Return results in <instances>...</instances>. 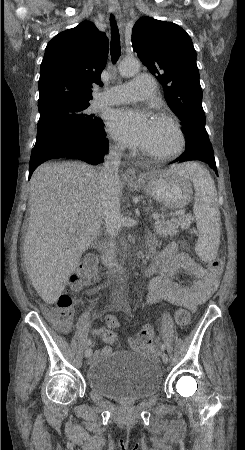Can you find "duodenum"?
Returning <instances> with one entry per match:
<instances>
[{"label": "duodenum", "instance_id": "1", "mask_svg": "<svg viewBox=\"0 0 245 450\" xmlns=\"http://www.w3.org/2000/svg\"><path fill=\"white\" fill-rule=\"evenodd\" d=\"M102 261L105 267L111 272L119 273L124 277L129 272L126 263L120 262L115 255V241L113 239H109L105 243V248L102 252Z\"/></svg>", "mask_w": 245, "mask_h": 450}]
</instances>
